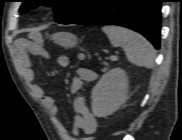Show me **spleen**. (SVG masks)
I'll return each mask as SVG.
<instances>
[{
	"label": "spleen",
	"instance_id": "1",
	"mask_svg": "<svg viewBox=\"0 0 182 140\" xmlns=\"http://www.w3.org/2000/svg\"><path fill=\"white\" fill-rule=\"evenodd\" d=\"M103 32L114 47H121L130 63L145 68H152L155 50L142 35L120 26H104Z\"/></svg>",
	"mask_w": 182,
	"mask_h": 140
}]
</instances>
